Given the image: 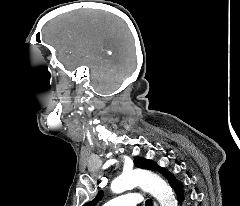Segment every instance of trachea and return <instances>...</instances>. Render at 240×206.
<instances>
[{
  "label": "trachea",
  "instance_id": "3493384b",
  "mask_svg": "<svg viewBox=\"0 0 240 206\" xmlns=\"http://www.w3.org/2000/svg\"><path fill=\"white\" fill-rule=\"evenodd\" d=\"M146 206H152L151 200H147L145 203Z\"/></svg>",
  "mask_w": 240,
  "mask_h": 206
}]
</instances>
